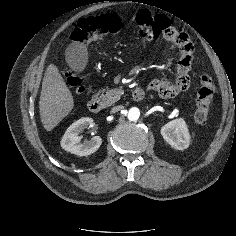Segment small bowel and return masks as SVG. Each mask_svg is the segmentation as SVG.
Segmentation results:
<instances>
[{
	"instance_id": "obj_1",
	"label": "small bowel",
	"mask_w": 236,
	"mask_h": 236,
	"mask_svg": "<svg viewBox=\"0 0 236 236\" xmlns=\"http://www.w3.org/2000/svg\"><path fill=\"white\" fill-rule=\"evenodd\" d=\"M173 43L176 44L181 50V57L178 61L175 76L173 78L163 77L160 79H155L151 81L147 86L150 90L156 91L161 96L166 98L172 97L181 92L177 88L178 82L182 83L184 81H187V85L182 91L186 90L189 87V72L193 63V45L189 38L185 34H183V39L180 42Z\"/></svg>"
}]
</instances>
